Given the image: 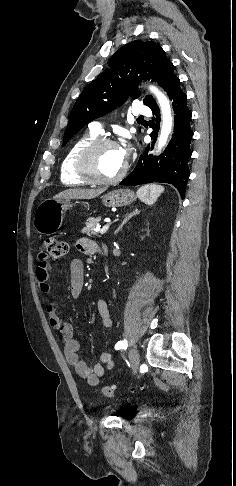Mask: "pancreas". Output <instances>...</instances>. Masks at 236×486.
Returning a JSON list of instances; mask_svg holds the SVG:
<instances>
[{"label": "pancreas", "instance_id": "pancreas-1", "mask_svg": "<svg viewBox=\"0 0 236 486\" xmlns=\"http://www.w3.org/2000/svg\"><path fill=\"white\" fill-rule=\"evenodd\" d=\"M100 221H101V218L100 217H98L96 219L88 220L86 222V227H84L81 232L83 234L88 235V236H95V235H97L98 232H96L94 230V228H95V226L97 224H99Z\"/></svg>", "mask_w": 236, "mask_h": 486}]
</instances>
